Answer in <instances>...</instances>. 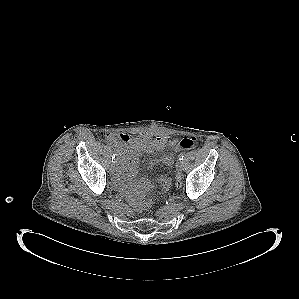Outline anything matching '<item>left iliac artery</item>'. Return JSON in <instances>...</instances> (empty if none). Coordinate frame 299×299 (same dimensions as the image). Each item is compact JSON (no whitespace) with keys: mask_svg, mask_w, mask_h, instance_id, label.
Returning <instances> with one entry per match:
<instances>
[{"mask_svg":"<svg viewBox=\"0 0 299 299\" xmlns=\"http://www.w3.org/2000/svg\"><path fill=\"white\" fill-rule=\"evenodd\" d=\"M183 158H184V153H181V154L179 155V160H183Z\"/></svg>","mask_w":299,"mask_h":299,"instance_id":"1","label":"left iliac artery"}]
</instances>
